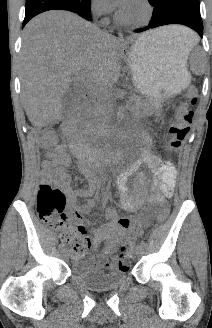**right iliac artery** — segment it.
<instances>
[{
	"label": "right iliac artery",
	"instance_id": "1",
	"mask_svg": "<svg viewBox=\"0 0 212 328\" xmlns=\"http://www.w3.org/2000/svg\"><path fill=\"white\" fill-rule=\"evenodd\" d=\"M60 249L61 250H64V245H60Z\"/></svg>",
	"mask_w": 212,
	"mask_h": 328
}]
</instances>
